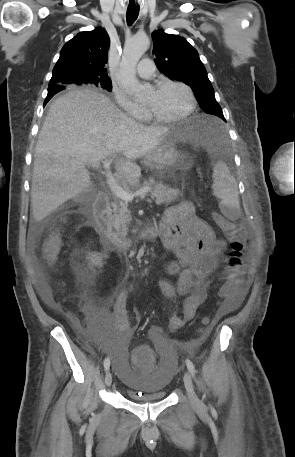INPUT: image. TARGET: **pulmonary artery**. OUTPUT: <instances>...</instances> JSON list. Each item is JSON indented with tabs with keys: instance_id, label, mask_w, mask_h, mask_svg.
Segmentation results:
<instances>
[{
	"instance_id": "pulmonary-artery-1",
	"label": "pulmonary artery",
	"mask_w": 295,
	"mask_h": 457,
	"mask_svg": "<svg viewBox=\"0 0 295 457\" xmlns=\"http://www.w3.org/2000/svg\"><path fill=\"white\" fill-rule=\"evenodd\" d=\"M136 71L142 78H151L155 72V65L151 59L144 58L138 64Z\"/></svg>"
}]
</instances>
